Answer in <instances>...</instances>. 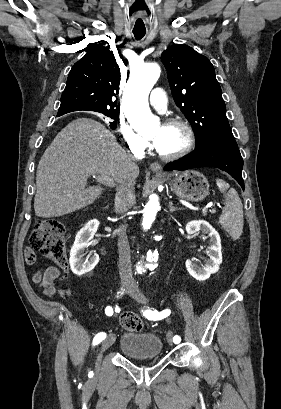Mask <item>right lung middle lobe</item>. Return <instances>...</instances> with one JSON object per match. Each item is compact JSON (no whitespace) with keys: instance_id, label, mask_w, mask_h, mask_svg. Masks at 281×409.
Listing matches in <instances>:
<instances>
[{"instance_id":"1","label":"right lung middle lobe","mask_w":281,"mask_h":409,"mask_svg":"<svg viewBox=\"0 0 281 409\" xmlns=\"http://www.w3.org/2000/svg\"><path fill=\"white\" fill-rule=\"evenodd\" d=\"M101 113H103L104 115H106V116H108V117H110V118H112L114 120H117L116 111H107V112H101Z\"/></svg>"}]
</instances>
